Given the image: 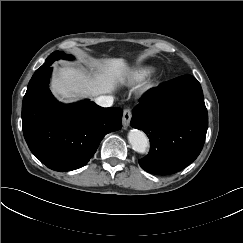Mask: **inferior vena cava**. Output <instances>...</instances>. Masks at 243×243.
Instances as JSON below:
<instances>
[{"label":"inferior vena cava","instance_id":"inferior-vena-cava-1","mask_svg":"<svg viewBox=\"0 0 243 243\" xmlns=\"http://www.w3.org/2000/svg\"><path fill=\"white\" fill-rule=\"evenodd\" d=\"M113 101L114 99L112 96H106V95L99 96L95 99L96 104L101 107H111Z\"/></svg>","mask_w":243,"mask_h":243}]
</instances>
